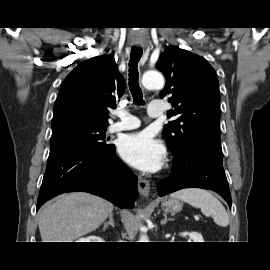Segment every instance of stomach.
Segmentation results:
<instances>
[{"label":"stomach","mask_w":270,"mask_h":270,"mask_svg":"<svg viewBox=\"0 0 270 270\" xmlns=\"http://www.w3.org/2000/svg\"><path fill=\"white\" fill-rule=\"evenodd\" d=\"M163 210L165 213H171L172 215L181 211L182 204L177 199H165L162 203Z\"/></svg>","instance_id":"1"}]
</instances>
